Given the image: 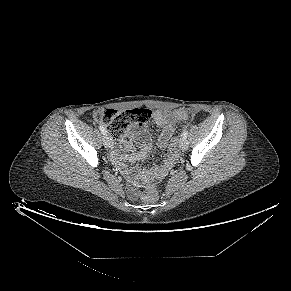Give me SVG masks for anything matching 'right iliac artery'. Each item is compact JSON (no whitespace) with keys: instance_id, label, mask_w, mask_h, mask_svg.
<instances>
[{"instance_id":"right-iliac-artery-1","label":"right iliac artery","mask_w":291,"mask_h":291,"mask_svg":"<svg viewBox=\"0 0 291 291\" xmlns=\"http://www.w3.org/2000/svg\"><path fill=\"white\" fill-rule=\"evenodd\" d=\"M99 130L102 132L103 135H107V131L105 130L103 126L100 125Z\"/></svg>"}]
</instances>
